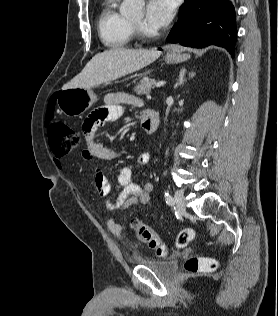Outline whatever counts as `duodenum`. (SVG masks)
<instances>
[{
	"label": "duodenum",
	"instance_id": "410a0bca",
	"mask_svg": "<svg viewBox=\"0 0 278 316\" xmlns=\"http://www.w3.org/2000/svg\"><path fill=\"white\" fill-rule=\"evenodd\" d=\"M159 123V114L154 110H148L143 116L142 128L146 133L151 134L157 130Z\"/></svg>",
	"mask_w": 278,
	"mask_h": 316
}]
</instances>
